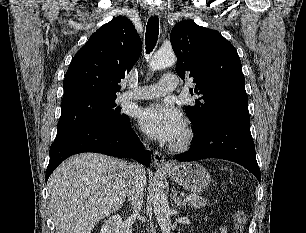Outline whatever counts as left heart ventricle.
<instances>
[{"label":"left heart ventricle","instance_id":"left-heart-ventricle-1","mask_svg":"<svg viewBox=\"0 0 306 233\" xmlns=\"http://www.w3.org/2000/svg\"><path fill=\"white\" fill-rule=\"evenodd\" d=\"M182 133H183V131L181 132V134L179 135V137L175 141H177L182 136Z\"/></svg>","mask_w":306,"mask_h":233}]
</instances>
